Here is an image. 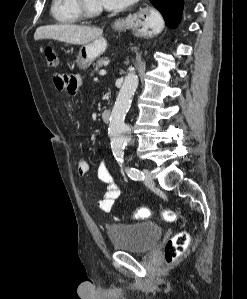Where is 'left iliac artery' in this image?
Masks as SVG:
<instances>
[{
    "instance_id": "1",
    "label": "left iliac artery",
    "mask_w": 247,
    "mask_h": 299,
    "mask_svg": "<svg viewBox=\"0 0 247 299\" xmlns=\"http://www.w3.org/2000/svg\"><path fill=\"white\" fill-rule=\"evenodd\" d=\"M116 159L120 163L123 162V159L121 157H117ZM126 172H127L128 176L133 180H143L144 179L143 172H141L140 170H138L136 168H133V167L127 168Z\"/></svg>"
}]
</instances>
